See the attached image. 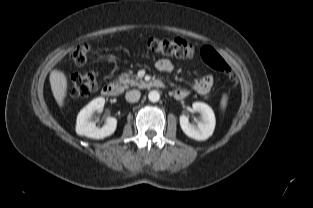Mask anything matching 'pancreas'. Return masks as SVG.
Segmentation results:
<instances>
[{
  "label": "pancreas",
  "instance_id": "pancreas-1",
  "mask_svg": "<svg viewBox=\"0 0 313 208\" xmlns=\"http://www.w3.org/2000/svg\"><path fill=\"white\" fill-rule=\"evenodd\" d=\"M118 83L120 85H123V87L125 89H127L129 86H139L141 82V80L139 81V78L136 77L135 79H131L130 75L128 73H123L121 74V76L118 78Z\"/></svg>",
  "mask_w": 313,
  "mask_h": 208
}]
</instances>
